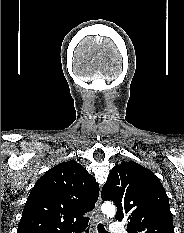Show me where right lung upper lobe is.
Segmentation results:
<instances>
[{"instance_id":"right-lung-upper-lobe-1","label":"right lung upper lobe","mask_w":184,"mask_h":233,"mask_svg":"<svg viewBox=\"0 0 184 233\" xmlns=\"http://www.w3.org/2000/svg\"><path fill=\"white\" fill-rule=\"evenodd\" d=\"M99 184L71 160L48 170L25 203L17 233H67L88 222L83 214L98 200Z\"/></svg>"}]
</instances>
